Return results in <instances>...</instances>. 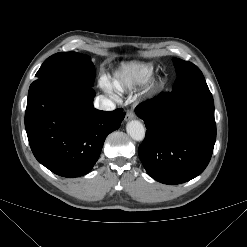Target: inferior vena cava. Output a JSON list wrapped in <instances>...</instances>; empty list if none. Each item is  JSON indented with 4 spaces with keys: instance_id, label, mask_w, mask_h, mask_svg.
I'll return each mask as SVG.
<instances>
[{
    "instance_id": "inferior-vena-cava-1",
    "label": "inferior vena cava",
    "mask_w": 247,
    "mask_h": 247,
    "mask_svg": "<svg viewBox=\"0 0 247 247\" xmlns=\"http://www.w3.org/2000/svg\"><path fill=\"white\" fill-rule=\"evenodd\" d=\"M94 107L100 110L112 111L115 109L116 106L113 101L103 95H100L96 97L94 101Z\"/></svg>"
}]
</instances>
